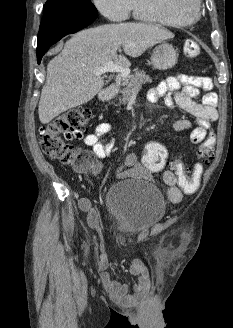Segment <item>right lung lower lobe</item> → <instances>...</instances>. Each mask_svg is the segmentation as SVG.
I'll return each instance as SVG.
<instances>
[{
  "label": "right lung lower lobe",
  "mask_w": 233,
  "mask_h": 328,
  "mask_svg": "<svg viewBox=\"0 0 233 328\" xmlns=\"http://www.w3.org/2000/svg\"><path fill=\"white\" fill-rule=\"evenodd\" d=\"M97 15L98 12L90 11L44 10L38 33V63L51 45L65 35L75 33L88 26L97 18Z\"/></svg>",
  "instance_id": "98d812e1"
}]
</instances>
